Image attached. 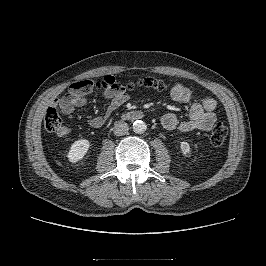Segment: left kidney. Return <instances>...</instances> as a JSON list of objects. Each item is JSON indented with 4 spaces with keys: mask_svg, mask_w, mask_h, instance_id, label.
Masks as SVG:
<instances>
[{
    "mask_svg": "<svg viewBox=\"0 0 266 266\" xmlns=\"http://www.w3.org/2000/svg\"><path fill=\"white\" fill-rule=\"evenodd\" d=\"M180 149L181 152L186 155L190 152V145L187 142H181Z\"/></svg>",
    "mask_w": 266,
    "mask_h": 266,
    "instance_id": "5707ae66",
    "label": "left kidney"
}]
</instances>
